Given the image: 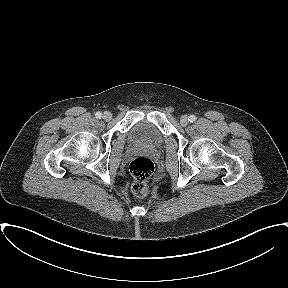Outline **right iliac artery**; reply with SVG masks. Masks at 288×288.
Here are the masks:
<instances>
[{
    "mask_svg": "<svg viewBox=\"0 0 288 288\" xmlns=\"http://www.w3.org/2000/svg\"><path fill=\"white\" fill-rule=\"evenodd\" d=\"M95 117L100 119L102 117V113L101 112H96Z\"/></svg>",
    "mask_w": 288,
    "mask_h": 288,
    "instance_id": "obj_1",
    "label": "right iliac artery"
}]
</instances>
